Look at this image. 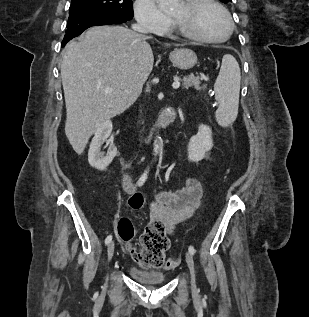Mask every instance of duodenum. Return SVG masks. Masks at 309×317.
<instances>
[{
	"label": "duodenum",
	"instance_id": "duodenum-1",
	"mask_svg": "<svg viewBox=\"0 0 309 317\" xmlns=\"http://www.w3.org/2000/svg\"><path fill=\"white\" fill-rule=\"evenodd\" d=\"M175 118V111L173 108L165 109L159 116L156 124L153 127L152 134L160 129L166 128Z\"/></svg>",
	"mask_w": 309,
	"mask_h": 317
}]
</instances>
